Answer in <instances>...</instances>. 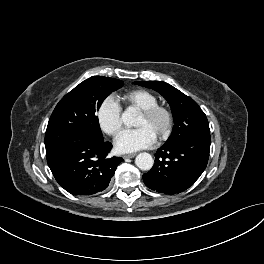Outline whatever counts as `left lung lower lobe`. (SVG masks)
<instances>
[{
  "instance_id": "left-lung-lower-lobe-1",
  "label": "left lung lower lobe",
  "mask_w": 264,
  "mask_h": 264,
  "mask_svg": "<svg viewBox=\"0 0 264 264\" xmlns=\"http://www.w3.org/2000/svg\"><path fill=\"white\" fill-rule=\"evenodd\" d=\"M210 143V135L165 143L155 154L153 168L143 175L145 185L165 194H176L188 189L206 168Z\"/></svg>"
}]
</instances>
